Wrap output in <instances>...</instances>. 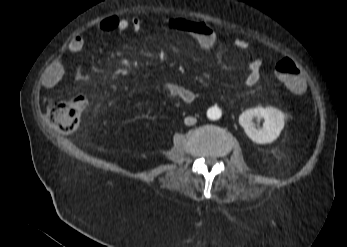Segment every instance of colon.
Segmentation results:
<instances>
[{
    "label": "colon",
    "instance_id": "obj_1",
    "mask_svg": "<svg viewBox=\"0 0 347 247\" xmlns=\"http://www.w3.org/2000/svg\"><path fill=\"white\" fill-rule=\"evenodd\" d=\"M274 76L292 91L298 93L305 88V82L299 67L289 58H284L272 66ZM85 108L82 98L54 100L47 109L49 121L62 133L75 131Z\"/></svg>",
    "mask_w": 347,
    "mask_h": 247
}]
</instances>
